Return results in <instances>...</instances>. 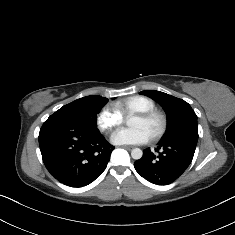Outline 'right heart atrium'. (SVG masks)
I'll use <instances>...</instances> for the list:
<instances>
[{"label": "right heart atrium", "instance_id": "right-heart-atrium-1", "mask_svg": "<svg viewBox=\"0 0 235 235\" xmlns=\"http://www.w3.org/2000/svg\"><path fill=\"white\" fill-rule=\"evenodd\" d=\"M95 123L101 133L108 134L123 124V116L114 104L108 103L97 113Z\"/></svg>", "mask_w": 235, "mask_h": 235}]
</instances>
